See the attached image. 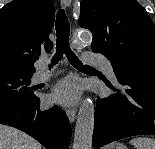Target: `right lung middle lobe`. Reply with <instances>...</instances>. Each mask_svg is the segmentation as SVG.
<instances>
[{
	"mask_svg": "<svg viewBox=\"0 0 155 149\" xmlns=\"http://www.w3.org/2000/svg\"><path fill=\"white\" fill-rule=\"evenodd\" d=\"M33 74L0 67V101H27L36 95L30 87Z\"/></svg>",
	"mask_w": 155,
	"mask_h": 149,
	"instance_id": "1",
	"label": "right lung middle lobe"
}]
</instances>
